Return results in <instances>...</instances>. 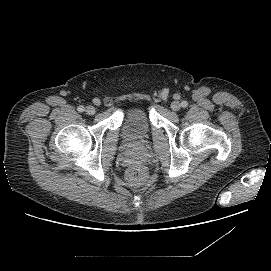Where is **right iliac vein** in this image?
<instances>
[{
    "label": "right iliac vein",
    "instance_id": "obj_1",
    "mask_svg": "<svg viewBox=\"0 0 271 271\" xmlns=\"http://www.w3.org/2000/svg\"><path fill=\"white\" fill-rule=\"evenodd\" d=\"M85 112L88 115H94L95 114V108L93 106H87L85 109Z\"/></svg>",
    "mask_w": 271,
    "mask_h": 271
}]
</instances>
